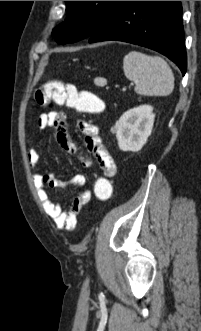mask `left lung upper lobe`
Instances as JSON below:
<instances>
[{"label": "left lung upper lobe", "instance_id": "left-lung-upper-lobe-1", "mask_svg": "<svg viewBox=\"0 0 201 331\" xmlns=\"http://www.w3.org/2000/svg\"><path fill=\"white\" fill-rule=\"evenodd\" d=\"M120 1H66L67 18L52 35L58 43L89 38Z\"/></svg>", "mask_w": 201, "mask_h": 331}]
</instances>
